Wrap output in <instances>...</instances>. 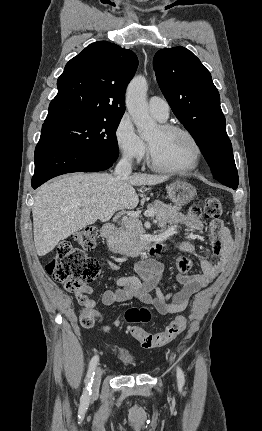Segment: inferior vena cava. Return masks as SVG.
Instances as JSON below:
<instances>
[{
	"mask_svg": "<svg viewBox=\"0 0 262 431\" xmlns=\"http://www.w3.org/2000/svg\"><path fill=\"white\" fill-rule=\"evenodd\" d=\"M132 172V161L131 157L123 156L115 167L114 175L120 179L122 177H127Z\"/></svg>",
	"mask_w": 262,
	"mask_h": 431,
	"instance_id": "1",
	"label": "inferior vena cava"
}]
</instances>
